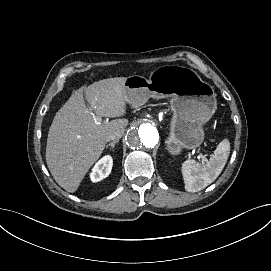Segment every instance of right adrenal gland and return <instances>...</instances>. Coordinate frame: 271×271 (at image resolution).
Wrapping results in <instances>:
<instances>
[{"label": "right adrenal gland", "instance_id": "2a0ac1e0", "mask_svg": "<svg viewBox=\"0 0 271 271\" xmlns=\"http://www.w3.org/2000/svg\"><path fill=\"white\" fill-rule=\"evenodd\" d=\"M116 143H118V141L114 140L113 142L107 144L105 148L108 149V147H111V150L113 151Z\"/></svg>", "mask_w": 271, "mask_h": 271}]
</instances>
